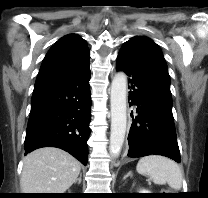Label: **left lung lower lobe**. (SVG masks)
I'll list each match as a JSON object with an SVG mask.
<instances>
[{
	"instance_id": "left-lung-lower-lobe-1",
	"label": "left lung lower lobe",
	"mask_w": 208,
	"mask_h": 198,
	"mask_svg": "<svg viewBox=\"0 0 208 198\" xmlns=\"http://www.w3.org/2000/svg\"><path fill=\"white\" fill-rule=\"evenodd\" d=\"M116 70L130 77V105L137 106L128 135V156L162 155L180 162L170 87L162 82L142 41H127L122 46Z\"/></svg>"
}]
</instances>
